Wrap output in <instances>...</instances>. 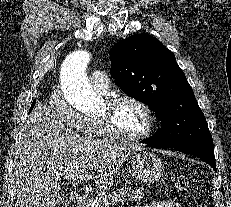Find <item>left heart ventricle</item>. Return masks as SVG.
Listing matches in <instances>:
<instances>
[{"label":"left heart ventricle","mask_w":231,"mask_h":207,"mask_svg":"<svg viewBox=\"0 0 231 207\" xmlns=\"http://www.w3.org/2000/svg\"><path fill=\"white\" fill-rule=\"evenodd\" d=\"M106 111V104L102 105L99 112L101 116ZM115 126L124 134L134 136L143 132L147 120L144 111L137 105L124 102L120 104L113 113Z\"/></svg>","instance_id":"1"}]
</instances>
